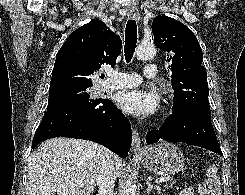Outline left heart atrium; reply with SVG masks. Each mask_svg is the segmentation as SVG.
Here are the masks:
<instances>
[{
	"label": "left heart atrium",
	"instance_id": "1",
	"mask_svg": "<svg viewBox=\"0 0 245 195\" xmlns=\"http://www.w3.org/2000/svg\"><path fill=\"white\" fill-rule=\"evenodd\" d=\"M120 108L139 118H147L158 110V100L154 93L139 88L124 90L117 96Z\"/></svg>",
	"mask_w": 245,
	"mask_h": 195
}]
</instances>
